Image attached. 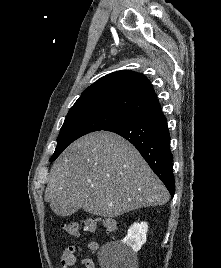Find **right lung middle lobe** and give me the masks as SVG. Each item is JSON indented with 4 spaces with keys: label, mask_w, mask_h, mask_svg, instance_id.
I'll return each mask as SVG.
<instances>
[{
    "label": "right lung middle lobe",
    "mask_w": 221,
    "mask_h": 268,
    "mask_svg": "<svg viewBox=\"0 0 221 268\" xmlns=\"http://www.w3.org/2000/svg\"><path fill=\"white\" fill-rule=\"evenodd\" d=\"M123 121H126L124 117L106 110L68 112L50 162L54 161L69 144L81 136L89 132L107 130Z\"/></svg>",
    "instance_id": "obj_1"
}]
</instances>
